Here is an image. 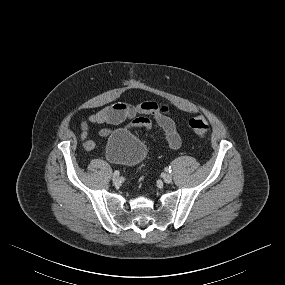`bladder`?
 I'll return each instance as SVG.
<instances>
[{"instance_id": "obj_1", "label": "bladder", "mask_w": 285, "mask_h": 285, "mask_svg": "<svg viewBox=\"0 0 285 285\" xmlns=\"http://www.w3.org/2000/svg\"><path fill=\"white\" fill-rule=\"evenodd\" d=\"M145 143L126 130H115L109 133L106 142V156L110 161L136 166L147 156Z\"/></svg>"}]
</instances>
